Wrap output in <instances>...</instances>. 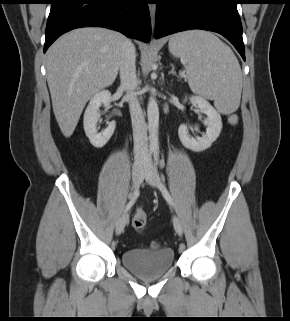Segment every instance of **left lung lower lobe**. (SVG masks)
Returning a JSON list of instances; mask_svg holds the SVG:
<instances>
[{
	"instance_id": "obj_1",
	"label": "left lung lower lobe",
	"mask_w": 290,
	"mask_h": 321,
	"mask_svg": "<svg viewBox=\"0 0 290 321\" xmlns=\"http://www.w3.org/2000/svg\"><path fill=\"white\" fill-rule=\"evenodd\" d=\"M239 0H157L155 38L202 29L227 38L245 60Z\"/></svg>"
}]
</instances>
